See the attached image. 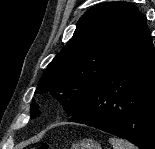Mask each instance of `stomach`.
Here are the masks:
<instances>
[{
  "label": "stomach",
  "instance_id": "0dacf381",
  "mask_svg": "<svg viewBox=\"0 0 155 149\" xmlns=\"http://www.w3.org/2000/svg\"><path fill=\"white\" fill-rule=\"evenodd\" d=\"M71 149H102L100 144L92 139H83L73 143Z\"/></svg>",
  "mask_w": 155,
  "mask_h": 149
}]
</instances>
